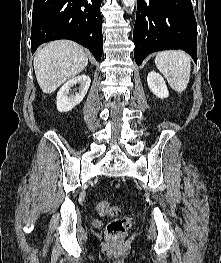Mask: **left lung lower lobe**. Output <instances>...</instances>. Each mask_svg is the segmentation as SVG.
Masks as SVG:
<instances>
[{"mask_svg":"<svg viewBox=\"0 0 221 263\" xmlns=\"http://www.w3.org/2000/svg\"><path fill=\"white\" fill-rule=\"evenodd\" d=\"M134 58L141 65L152 52L182 49L197 62V23L191 0H138Z\"/></svg>","mask_w":221,"mask_h":263,"instance_id":"0a47b994","label":"left lung lower lobe"}]
</instances>
